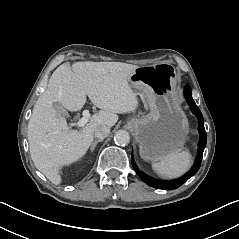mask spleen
Masks as SVG:
<instances>
[{"mask_svg": "<svg viewBox=\"0 0 239 239\" xmlns=\"http://www.w3.org/2000/svg\"><path fill=\"white\" fill-rule=\"evenodd\" d=\"M193 165L192 155L188 151L170 154L160 162L152 164L153 170L163 178L174 179L181 177Z\"/></svg>", "mask_w": 239, "mask_h": 239, "instance_id": "spleen-1", "label": "spleen"}]
</instances>
